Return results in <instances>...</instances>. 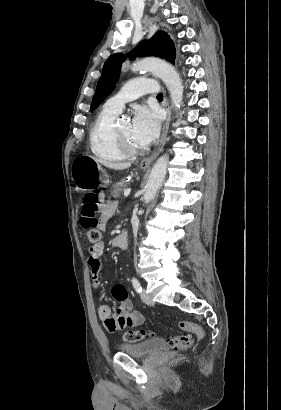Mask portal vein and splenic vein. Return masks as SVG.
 Wrapping results in <instances>:
<instances>
[{
    "mask_svg": "<svg viewBox=\"0 0 281 410\" xmlns=\"http://www.w3.org/2000/svg\"><path fill=\"white\" fill-rule=\"evenodd\" d=\"M130 192H131L130 188L125 189L124 196L127 197L130 194Z\"/></svg>",
    "mask_w": 281,
    "mask_h": 410,
    "instance_id": "18ae733b",
    "label": "portal vein and splenic vein"
}]
</instances>
